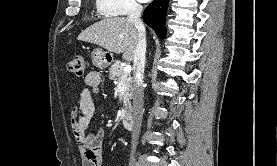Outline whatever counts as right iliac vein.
Returning <instances> with one entry per match:
<instances>
[{"mask_svg":"<svg viewBox=\"0 0 277 166\" xmlns=\"http://www.w3.org/2000/svg\"><path fill=\"white\" fill-rule=\"evenodd\" d=\"M129 166H138V164L137 163H135V162H132V163H130V165Z\"/></svg>","mask_w":277,"mask_h":166,"instance_id":"obj_1","label":"right iliac vein"}]
</instances>
